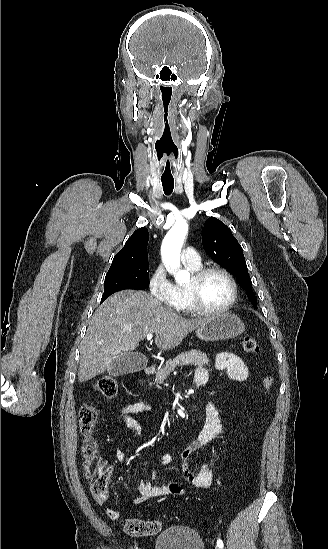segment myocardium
I'll return each instance as SVG.
<instances>
[{
	"mask_svg": "<svg viewBox=\"0 0 328 549\" xmlns=\"http://www.w3.org/2000/svg\"><path fill=\"white\" fill-rule=\"evenodd\" d=\"M211 271H219L224 274L230 282L232 288L229 301L224 306L217 309H207L201 307L203 302L197 294L198 283ZM191 272V282L185 286V290L190 302L187 307L192 313L199 317L220 316L229 312L234 307L238 299V283L226 266L217 262H209L202 264L197 270Z\"/></svg>",
	"mask_w": 328,
	"mask_h": 549,
	"instance_id": "1",
	"label": "myocardium"
}]
</instances>
